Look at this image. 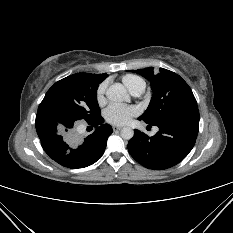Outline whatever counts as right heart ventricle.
<instances>
[{"label": "right heart ventricle", "instance_id": "1", "mask_svg": "<svg viewBox=\"0 0 233 233\" xmlns=\"http://www.w3.org/2000/svg\"><path fill=\"white\" fill-rule=\"evenodd\" d=\"M122 83L132 93L136 90H143L146 87L145 80L137 75L127 74L122 77Z\"/></svg>", "mask_w": 233, "mask_h": 233}]
</instances>
